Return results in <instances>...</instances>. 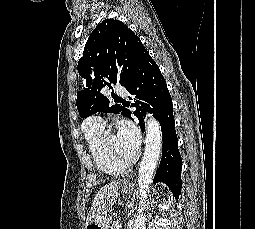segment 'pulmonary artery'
Segmentation results:
<instances>
[{
    "label": "pulmonary artery",
    "instance_id": "pulmonary-artery-1",
    "mask_svg": "<svg viewBox=\"0 0 255 229\" xmlns=\"http://www.w3.org/2000/svg\"><path fill=\"white\" fill-rule=\"evenodd\" d=\"M115 92L120 95H126L127 91L121 86H115ZM88 127H101L104 128V121L98 116H91L87 120Z\"/></svg>",
    "mask_w": 255,
    "mask_h": 229
}]
</instances>
